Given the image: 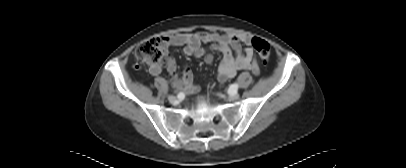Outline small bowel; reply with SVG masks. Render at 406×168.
<instances>
[{
  "label": "small bowel",
  "mask_w": 406,
  "mask_h": 168,
  "mask_svg": "<svg viewBox=\"0 0 406 168\" xmlns=\"http://www.w3.org/2000/svg\"><path fill=\"white\" fill-rule=\"evenodd\" d=\"M168 42L172 46H182L184 53L188 56H204L208 64L213 61L211 52H220L223 56L217 72L220 84L233 78L241 70H250L255 75L259 74V65L254 51L249 47H242V43L249 44L250 42V36L247 34H219L204 31L179 33L168 37ZM203 43H211L209 51L202 48ZM166 68L175 88L188 94H195L199 91V87L193 81L192 72L188 68L184 70L182 76H178L176 62L173 58L168 59ZM149 71L153 75H158L162 71V66L151 65Z\"/></svg>",
  "instance_id": "small-bowel-1"
}]
</instances>
